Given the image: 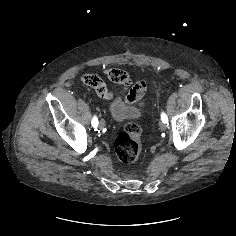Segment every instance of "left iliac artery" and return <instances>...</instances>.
<instances>
[{
	"mask_svg": "<svg viewBox=\"0 0 236 236\" xmlns=\"http://www.w3.org/2000/svg\"><path fill=\"white\" fill-rule=\"evenodd\" d=\"M161 120L168 124V117L164 112L161 113Z\"/></svg>",
	"mask_w": 236,
	"mask_h": 236,
	"instance_id": "left-iliac-artery-1",
	"label": "left iliac artery"
}]
</instances>
